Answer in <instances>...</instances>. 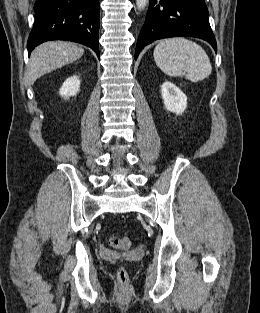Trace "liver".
Masks as SVG:
<instances>
[{
	"instance_id": "6515ba94",
	"label": "liver",
	"mask_w": 260,
	"mask_h": 313,
	"mask_svg": "<svg viewBox=\"0 0 260 313\" xmlns=\"http://www.w3.org/2000/svg\"><path fill=\"white\" fill-rule=\"evenodd\" d=\"M84 49L75 43L50 41L36 47L28 65L29 82L33 84L42 75L79 59Z\"/></svg>"
}]
</instances>
